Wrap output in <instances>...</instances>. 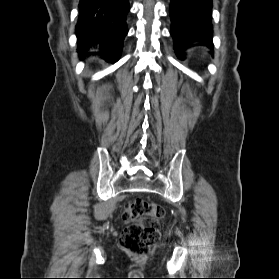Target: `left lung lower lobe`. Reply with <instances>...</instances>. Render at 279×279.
Instances as JSON below:
<instances>
[{"instance_id": "left-lung-lower-lobe-1", "label": "left lung lower lobe", "mask_w": 279, "mask_h": 279, "mask_svg": "<svg viewBox=\"0 0 279 279\" xmlns=\"http://www.w3.org/2000/svg\"><path fill=\"white\" fill-rule=\"evenodd\" d=\"M171 36L178 56L187 44L201 41L210 49L212 43V0H170Z\"/></svg>"}]
</instances>
